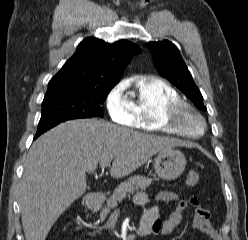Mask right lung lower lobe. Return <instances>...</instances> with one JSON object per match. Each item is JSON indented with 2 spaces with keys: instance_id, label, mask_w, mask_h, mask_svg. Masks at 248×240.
Returning <instances> with one entry per match:
<instances>
[{
  "instance_id": "98d812e1",
  "label": "right lung lower lobe",
  "mask_w": 248,
  "mask_h": 240,
  "mask_svg": "<svg viewBox=\"0 0 248 240\" xmlns=\"http://www.w3.org/2000/svg\"><path fill=\"white\" fill-rule=\"evenodd\" d=\"M57 124L59 123L38 125V129L34 139H36L38 136H40L42 133L46 132L47 130L51 129L52 127L56 126Z\"/></svg>"
}]
</instances>
